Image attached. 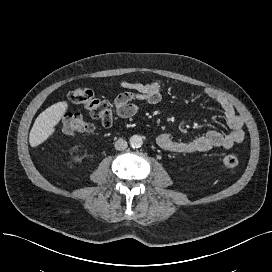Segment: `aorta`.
I'll return each mask as SVG.
<instances>
[{"label":"aorta","instance_id":"762f6f07","mask_svg":"<svg viewBox=\"0 0 272 272\" xmlns=\"http://www.w3.org/2000/svg\"><path fill=\"white\" fill-rule=\"evenodd\" d=\"M129 141L132 148H140L143 144V139L139 135L131 136Z\"/></svg>","mask_w":272,"mask_h":272}]
</instances>
